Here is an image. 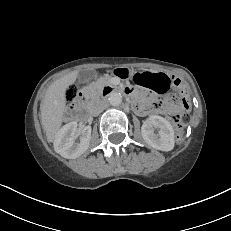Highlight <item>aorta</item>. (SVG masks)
<instances>
[{
    "instance_id": "762f6f07",
    "label": "aorta",
    "mask_w": 231,
    "mask_h": 231,
    "mask_svg": "<svg viewBox=\"0 0 231 231\" xmlns=\"http://www.w3.org/2000/svg\"><path fill=\"white\" fill-rule=\"evenodd\" d=\"M109 102L112 106H119L122 103V95L118 92H112L109 95Z\"/></svg>"
}]
</instances>
